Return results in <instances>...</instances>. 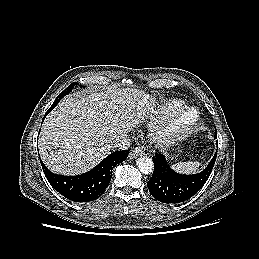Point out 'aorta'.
<instances>
[{
	"label": "aorta",
	"mask_w": 259,
	"mask_h": 259,
	"mask_svg": "<svg viewBox=\"0 0 259 259\" xmlns=\"http://www.w3.org/2000/svg\"><path fill=\"white\" fill-rule=\"evenodd\" d=\"M136 164L139 171L143 174H150L153 172L154 163L152 159L147 156L138 158Z\"/></svg>",
	"instance_id": "762f6f07"
}]
</instances>
